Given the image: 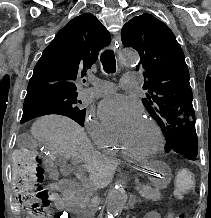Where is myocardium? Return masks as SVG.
Listing matches in <instances>:
<instances>
[{"mask_svg": "<svg viewBox=\"0 0 211 218\" xmlns=\"http://www.w3.org/2000/svg\"><path fill=\"white\" fill-rule=\"evenodd\" d=\"M144 120L151 125V127L153 128V130L157 136V145L154 147V149H152L151 151L146 152V153H140V152H137V151H134V150L128 148L123 140L120 142V147H121L123 153L125 155L133 158V159H136V160L151 159V158L155 157L163 147V134H162L161 128L159 127L157 122L150 117H146Z\"/></svg>", "mask_w": 211, "mask_h": 218, "instance_id": "f54148a6", "label": "myocardium"}]
</instances>
